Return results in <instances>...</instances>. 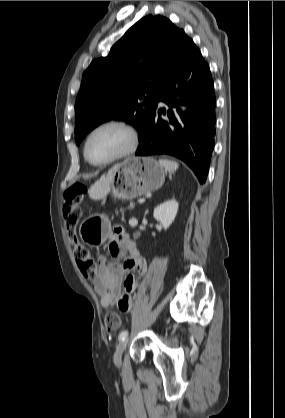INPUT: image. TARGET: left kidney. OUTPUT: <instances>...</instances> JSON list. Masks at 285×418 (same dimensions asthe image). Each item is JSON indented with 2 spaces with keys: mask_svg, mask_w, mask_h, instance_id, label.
Masks as SVG:
<instances>
[{
  "mask_svg": "<svg viewBox=\"0 0 285 418\" xmlns=\"http://www.w3.org/2000/svg\"><path fill=\"white\" fill-rule=\"evenodd\" d=\"M179 204L175 199L165 201L154 209V218L163 225L166 230L174 221Z\"/></svg>",
  "mask_w": 285,
  "mask_h": 418,
  "instance_id": "left-kidney-1",
  "label": "left kidney"
}]
</instances>
